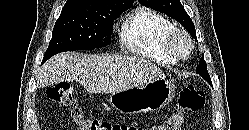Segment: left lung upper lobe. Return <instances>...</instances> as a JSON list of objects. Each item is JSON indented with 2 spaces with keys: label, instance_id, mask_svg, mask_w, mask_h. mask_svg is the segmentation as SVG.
<instances>
[{
  "label": "left lung upper lobe",
  "instance_id": "obj_1",
  "mask_svg": "<svg viewBox=\"0 0 249 130\" xmlns=\"http://www.w3.org/2000/svg\"><path fill=\"white\" fill-rule=\"evenodd\" d=\"M139 2L148 8L165 13L176 19L197 40L195 26L179 0H139ZM196 73L212 85L204 57L200 59Z\"/></svg>",
  "mask_w": 249,
  "mask_h": 130
}]
</instances>
